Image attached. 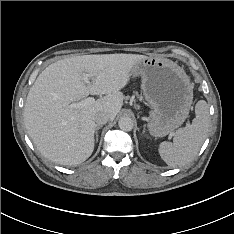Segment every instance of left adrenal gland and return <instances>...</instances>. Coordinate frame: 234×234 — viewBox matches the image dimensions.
<instances>
[{"label": "left adrenal gland", "instance_id": "left-adrenal-gland-1", "mask_svg": "<svg viewBox=\"0 0 234 234\" xmlns=\"http://www.w3.org/2000/svg\"><path fill=\"white\" fill-rule=\"evenodd\" d=\"M144 132H145V128H144V130H143V134H144Z\"/></svg>", "mask_w": 234, "mask_h": 234}]
</instances>
